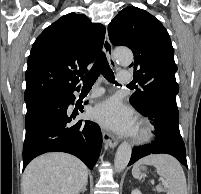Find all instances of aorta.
<instances>
[{"label": "aorta", "mask_w": 201, "mask_h": 194, "mask_svg": "<svg viewBox=\"0 0 201 194\" xmlns=\"http://www.w3.org/2000/svg\"><path fill=\"white\" fill-rule=\"evenodd\" d=\"M115 60L121 65H130L133 61V54L127 48H116L113 52ZM132 148L127 142H123L117 149L114 168L120 172L125 169L131 158Z\"/></svg>", "instance_id": "1"}]
</instances>
